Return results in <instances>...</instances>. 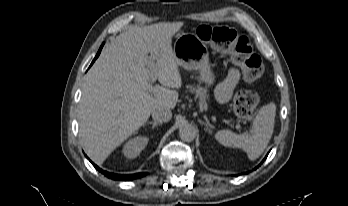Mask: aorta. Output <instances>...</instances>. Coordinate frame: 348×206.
<instances>
[{
	"label": "aorta",
	"instance_id": "obj_1",
	"mask_svg": "<svg viewBox=\"0 0 348 206\" xmlns=\"http://www.w3.org/2000/svg\"><path fill=\"white\" fill-rule=\"evenodd\" d=\"M196 131L193 125L184 123L179 127V137L182 141L191 142L195 139Z\"/></svg>",
	"mask_w": 348,
	"mask_h": 206
}]
</instances>
